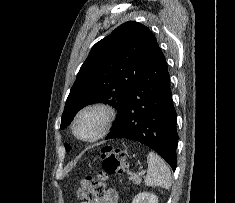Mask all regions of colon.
I'll return each mask as SVG.
<instances>
[{"instance_id": "1", "label": "colon", "mask_w": 235, "mask_h": 203, "mask_svg": "<svg viewBox=\"0 0 235 203\" xmlns=\"http://www.w3.org/2000/svg\"><path fill=\"white\" fill-rule=\"evenodd\" d=\"M102 171L96 175L81 179L78 196L82 199L94 200L105 193V180L108 174H122L127 170L125 153L120 149L106 146L101 150Z\"/></svg>"}]
</instances>
